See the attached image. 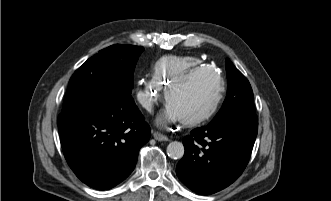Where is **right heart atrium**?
Wrapping results in <instances>:
<instances>
[{
  "label": "right heart atrium",
  "instance_id": "right-heart-atrium-1",
  "mask_svg": "<svg viewBox=\"0 0 331 201\" xmlns=\"http://www.w3.org/2000/svg\"><path fill=\"white\" fill-rule=\"evenodd\" d=\"M161 95V88L153 79L141 81L136 97L139 104L147 111H152Z\"/></svg>",
  "mask_w": 331,
  "mask_h": 201
}]
</instances>
